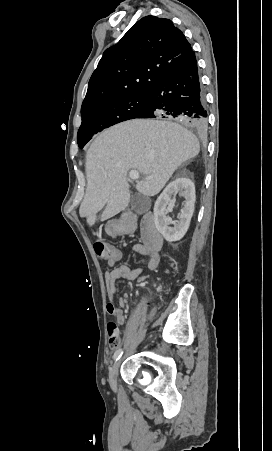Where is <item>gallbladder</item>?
Instances as JSON below:
<instances>
[{"label":"gallbladder","mask_w":272,"mask_h":451,"mask_svg":"<svg viewBox=\"0 0 272 451\" xmlns=\"http://www.w3.org/2000/svg\"><path fill=\"white\" fill-rule=\"evenodd\" d=\"M140 194H135L133 198L130 200L131 208L136 212V214H145L147 210H149V206L143 202V200H139Z\"/></svg>","instance_id":"obj_1"}]
</instances>
